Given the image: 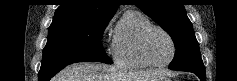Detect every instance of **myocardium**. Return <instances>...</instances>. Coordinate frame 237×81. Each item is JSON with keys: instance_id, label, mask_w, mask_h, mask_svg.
<instances>
[{"instance_id": "obj_1", "label": "myocardium", "mask_w": 237, "mask_h": 81, "mask_svg": "<svg viewBox=\"0 0 237 81\" xmlns=\"http://www.w3.org/2000/svg\"><path fill=\"white\" fill-rule=\"evenodd\" d=\"M153 30H157V31L162 32L169 39V41L171 43V46H172L171 57L168 61H166L164 63H156V62L152 61L150 59L149 55H148L146 43H147L148 35ZM139 51H140V54H141L142 58L147 62V64L149 66L156 67V68H164V67H167L175 58L176 44H175V41H174L173 37L170 35L169 32H167L164 28H162L160 26L151 24L148 27H146L140 35Z\"/></svg>"}]
</instances>
